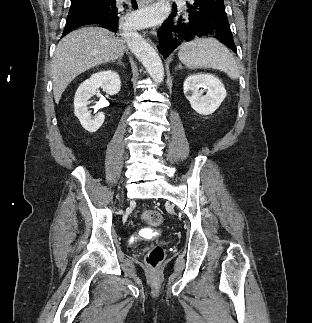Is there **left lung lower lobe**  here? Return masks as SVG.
Returning <instances> with one entry per match:
<instances>
[{"mask_svg": "<svg viewBox=\"0 0 312 323\" xmlns=\"http://www.w3.org/2000/svg\"><path fill=\"white\" fill-rule=\"evenodd\" d=\"M204 36L214 37L236 52L224 0H194L182 10L174 7L158 30V49L166 58L182 42Z\"/></svg>", "mask_w": 312, "mask_h": 323, "instance_id": "left-lung-lower-lobe-1", "label": "left lung lower lobe"}]
</instances>
